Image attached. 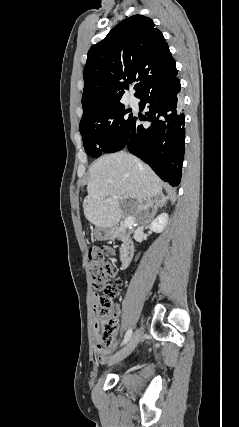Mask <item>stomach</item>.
<instances>
[{"label":"stomach","instance_id":"1","mask_svg":"<svg viewBox=\"0 0 239 427\" xmlns=\"http://www.w3.org/2000/svg\"><path fill=\"white\" fill-rule=\"evenodd\" d=\"M94 236L96 240L105 241L114 237V230L112 228H100L97 227L94 230Z\"/></svg>","mask_w":239,"mask_h":427}]
</instances>
